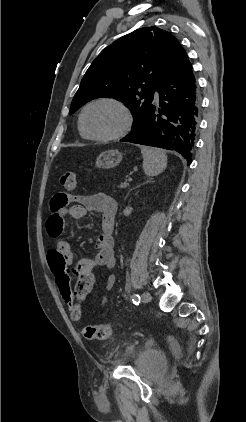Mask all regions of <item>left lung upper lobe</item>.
<instances>
[{"label":"left lung upper lobe","instance_id":"left-lung-upper-lobe-1","mask_svg":"<svg viewBox=\"0 0 246 422\" xmlns=\"http://www.w3.org/2000/svg\"><path fill=\"white\" fill-rule=\"evenodd\" d=\"M182 46L157 27L137 29L107 46L86 71L71 103L74 113L88 101L115 98L133 112L136 126L160 81L177 61Z\"/></svg>","mask_w":246,"mask_h":422}]
</instances>
